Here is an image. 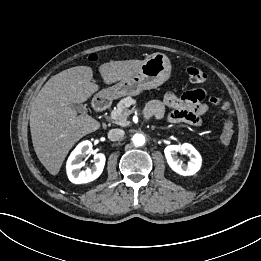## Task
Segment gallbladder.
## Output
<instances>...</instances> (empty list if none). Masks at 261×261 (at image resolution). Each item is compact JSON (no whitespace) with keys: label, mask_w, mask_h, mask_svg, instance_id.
Instances as JSON below:
<instances>
[{"label":"gallbladder","mask_w":261,"mask_h":261,"mask_svg":"<svg viewBox=\"0 0 261 261\" xmlns=\"http://www.w3.org/2000/svg\"><path fill=\"white\" fill-rule=\"evenodd\" d=\"M70 106L73 110H75L78 113H86L87 112L86 106H84L81 103H71Z\"/></svg>","instance_id":"1"}]
</instances>
